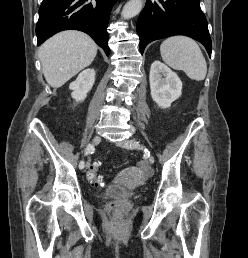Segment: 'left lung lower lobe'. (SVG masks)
Masks as SVG:
<instances>
[{
  "label": "left lung lower lobe",
  "mask_w": 248,
  "mask_h": 258,
  "mask_svg": "<svg viewBox=\"0 0 248 258\" xmlns=\"http://www.w3.org/2000/svg\"><path fill=\"white\" fill-rule=\"evenodd\" d=\"M200 0H147L137 21L140 51L154 40L186 35L201 42L209 56L212 44Z\"/></svg>",
  "instance_id": "0a47b994"
}]
</instances>
